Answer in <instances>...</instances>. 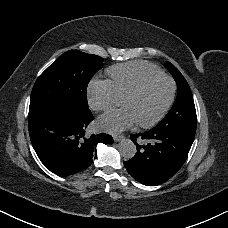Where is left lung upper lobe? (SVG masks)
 <instances>
[{
	"instance_id": "1",
	"label": "left lung upper lobe",
	"mask_w": 228,
	"mask_h": 228,
	"mask_svg": "<svg viewBox=\"0 0 228 228\" xmlns=\"http://www.w3.org/2000/svg\"><path fill=\"white\" fill-rule=\"evenodd\" d=\"M165 66L171 72L177 83L178 94L171 110L155 127L161 129H187L196 131V110L190 87L174 65L170 62H166Z\"/></svg>"
}]
</instances>
